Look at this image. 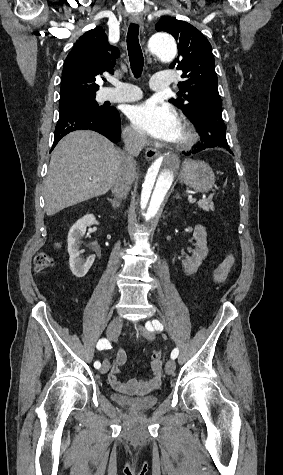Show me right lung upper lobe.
<instances>
[{"label": "right lung upper lobe", "instance_id": "cb5924a9", "mask_svg": "<svg viewBox=\"0 0 283 475\" xmlns=\"http://www.w3.org/2000/svg\"><path fill=\"white\" fill-rule=\"evenodd\" d=\"M119 49L107 41L104 29L98 26L76 42L63 66L61 91L79 90L95 93L99 90L95 82L104 72L113 74Z\"/></svg>", "mask_w": 283, "mask_h": 475}]
</instances>
